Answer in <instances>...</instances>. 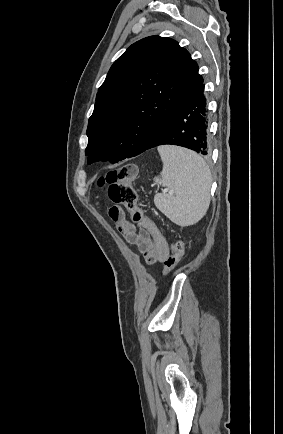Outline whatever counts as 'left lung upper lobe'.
<instances>
[{"instance_id": "obj_1", "label": "left lung upper lobe", "mask_w": 283, "mask_h": 434, "mask_svg": "<svg viewBox=\"0 0 283 434\" xmlns=\"http://www.w3.org/2000/svg\"><path fill=\"white\" fill-rule=\"evenodd\" d=\"M203 81L177 41L150 36L132 44L98 89L86 132L88 163L142 153L170 111Z\"/></svg>"}]
</instances>
